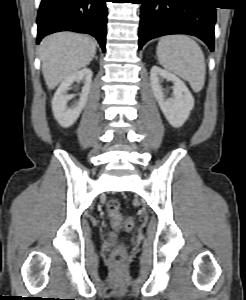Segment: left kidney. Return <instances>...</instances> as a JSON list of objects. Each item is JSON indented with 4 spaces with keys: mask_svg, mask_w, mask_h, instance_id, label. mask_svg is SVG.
<instances>
[{
    "mask_svg": "<svg viewBox=\"0 0 246 300\" xmlns=\"http://www.w3.org/2000/svg\"><path fill=\"white\" fill-rule=\"evenodd\" d=\"M173 83V97L165 98L162 82ZM150 83L160 109L168 122L175 128L181 127L194 107V98L185 83L176 75L153 66L150 71Z\"/></svg>",
    "mask_w": 246,
    "mask_h": 300,
    "instance_id": "1",
    "label": "left kidney"
}]
</instances>
